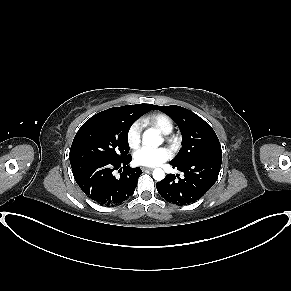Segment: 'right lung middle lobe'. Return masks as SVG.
I'll return each instance as SVG.
<instances>
[{
  "label": "right lung middle lobe",
  "mask_w": 291,
  "mask_h": 291,
  "mask_svg": "<svg viewBox=\"0 0 291 291\" xmlns=\"http://www.w3.org/2000/svg\"><path fill=\"white\" fill-rule=\"evenodd\" d=\"M146 110L134 113L128 106L114 107L88 119L78 130L70 149L71 165L90 161H117L128 156V131Z\"/></svg>",
  "instance_id": "obj_1"
}]
</instances>
